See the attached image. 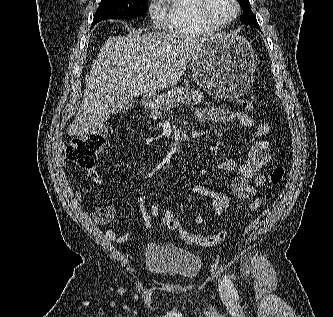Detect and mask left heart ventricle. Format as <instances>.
<instances>
[{
  "label": "left heart ventricle",
  "mask_w": 333,
  "mask_h": 317,
  "mask_svg": "<svg viewBox=\"0 0 333 317\" xmlns=\"http://www.w3.org/2000/svg\"><path fill=\"white\" fill-rule=\"evenodd\" d=\"M235 7L232 0H210L209 13L218 20H228L234 13Z\"/></svg>",
  "instance_id": "1"
}]
</instances>
